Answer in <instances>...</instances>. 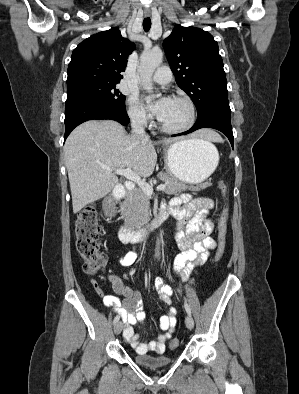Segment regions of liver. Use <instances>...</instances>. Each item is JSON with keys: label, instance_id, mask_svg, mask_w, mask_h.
I'll return each mask as SVG.
<instances>
[{"label": "liver", "instance_id": "1", "mask_svg": "<svg viewBox=\"0 0 299 394\" xmlns=\"http://www.w3.org/2000/svg\"><path fill=\"white\" fill-rule=\"evenodd\" d=\"M193 137L221 141L208 129L197 131ZM180 140L170 138L161 143L169 145ZM154 145L140 135H127L124 127L113 120H90L76 127L64 145L73 212L103 198L117 184L116 175L104 167L131 168L142 177L152 175L157 162Z\"/></svg>", "mask_w": 299, "mask_h": 394}]
</instances>
